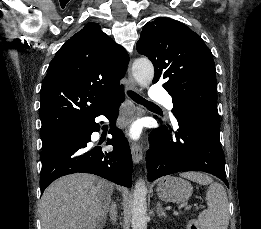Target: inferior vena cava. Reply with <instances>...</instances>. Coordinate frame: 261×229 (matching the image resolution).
<instances>
[{
    "mask_svg": "<svg viewBox=\"0 0 261 229\" xmlns=\"http://www.w3.org/2000/svg\"><path fill=\"white\" fill-rule=\"evenodd\" d=\"M109 213H110L111 221L115 223L117 217V211H116V205H114V203H112Z\"/></svg>",
    "mask_w": 261,
    "mask_h": 229,
    "instance_id": "602c4592",
    "label": "inferior vena cava"
}]
</instances>
